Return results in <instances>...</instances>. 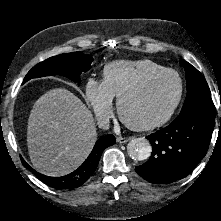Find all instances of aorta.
<instances>
[{
    "mask_svg": "<svg viewBox=\"0 0 221 221\" xmlns=\"http://www.w3.org/2000/svg\"><path fill=\"white\" fill-rule=\"evenodd\" d=\"M127 152L132 159L143 161L150 157L152 147L147 139L137 138L128 143Z\"/></svg>",
    "mask_w": 221,
    "mask_h": 221,
    "instance_id": "aorta-1",
    "label": "aorta"
}]
</instances>
